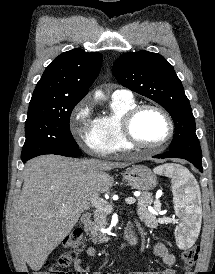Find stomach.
<instances>
[{
    "label": "stomach",
    "instance_id": "obj_1",
    "mask_svg": "<svg viewBox=\"0 0 215 274\" xmlns=\"http://www.w3.org/2000/svg\"><path fill=\"white\" fill-rule=\"evenodd\" d=\"M123 179L139 191H150L158 183L156 175L144 165H133L123 173Z\"/></svg>",
    "mask_w": 215,
    "mask_h": 274
}]
</instances>
